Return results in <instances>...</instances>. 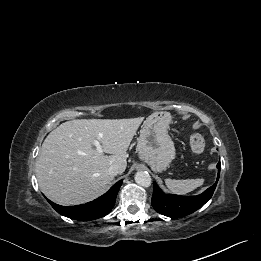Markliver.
I'll list each match as a JSON object with an SVG mask.
<instances>
[{
	"label": "liver",
	"mask_w": 261,
	"mask_h": 261,
	"mask_svg": "<svg viewBox=\"0 0 261 261\" xmlns=\"http://www.w3.org/2000/svg\"><path fill=\"white\" fill-rule=\"evenodd\" d=\"M143 121L78 119L62 123L45 138L37 162L41 192L60 205H79L101 196L113 181L108 169L127 166V149ZM98 140L105 153L93 147Z\"/></svg>",
	"instance_id": "6515ba94"
}]
</instances>
